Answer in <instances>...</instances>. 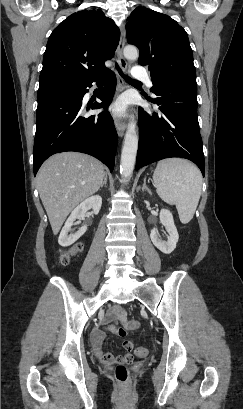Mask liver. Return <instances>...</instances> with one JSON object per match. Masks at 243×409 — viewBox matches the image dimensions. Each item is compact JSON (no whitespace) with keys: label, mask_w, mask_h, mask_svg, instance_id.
Listing matches in <instances>:
<instances>
[{"label":"liver","mask_w":243,"mask_h":409,"mask_svg":"<svg viewBox=\"0 0 243 409\" xmlns=\"http://www.w3.org/2000/svg\"><path fill=\"white\" fill-rule=\"evenodd\" d=\"M104 176V165L82 153L55 154L43 163L37 174V188L54 235L69 213L99 190Z\"/></svg>","instance_id":"liver-1"}]
</instances>
